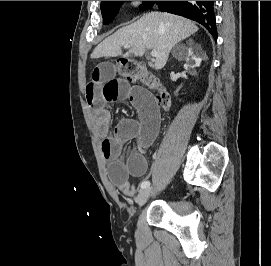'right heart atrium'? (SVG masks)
I'll use <instances>...</instances> for the list:
<instances>
[{"mask_svg":"<svg viewBox=\"0 0 271 266\" xmlns=\"http://www.w3.org/2000/svg\"><path fill=\"white\" fill-rule=\"evenodd\" d=\"M144 3V1H130V4L133 6H140Z\"/></svg>","mask_w":271,"mask_h":266,"instance_id":"right-heart-atrium-1","label":"right heart atrium"}]
</instances>
